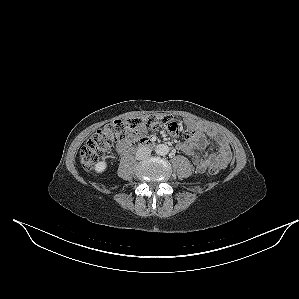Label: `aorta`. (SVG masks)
<instances>
[{
    "label": "aorta",
    "mask_w": 299,
    "mask_h": 299,
    "mask_svg": "<svg viewBox=\"0 0 299 299\" xmlns=\"http://www.w3.org/2000/svg\"><path fill=\"white\" fill-rule=\"evenodd\" d=\"M169 152V148L167 145L161 144L158 145L156 148V153L159 155H165Z\"/></svg>",
    "instance_id": "aorta-1"
}]
</instances>
